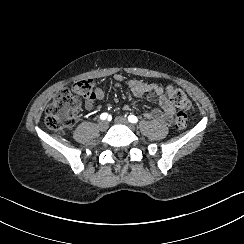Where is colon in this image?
<instances>
[{"instance_id": "1", "label": "colon", "mask_w": 244, "mask_h": 244, "mask_svg": "<svg viewBox=\"0 0 244 244\" xmlns=\"http://www.w3.org/2000/svg\"><path fill=\"white\" fill-rule=\"evenodd\" d=\"M93 84L91 79H83L62 89L47 107L46 125L57 132H63L75 126L82 100L94 95ZM166 94L169 101L179 109L187 111L191 108V102L182 90L169 87ZM185 111H179L174 118V126L177 129L183 130L188 125V115Z\"/></svg>"}]
</instances>
